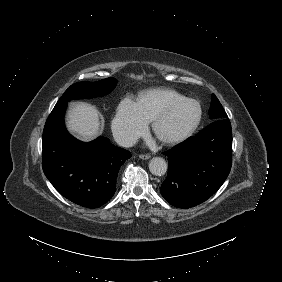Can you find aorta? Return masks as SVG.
Instances as JSON below:
<instances>
[{"mask_svg": "<svg viewBox=\"0 0 282 282\" xmlns=\"http://www.w3.org/2000/svg\"><path fill=\"white\" fill-rule=\"evenodd\" d=\"M149 170L153 175L162 176L167 171V163L161 157H154L149 162Z\"/></svg>", "mask_w": 282, "mask_h": 282, "instance_id": "aorta-1", "label": "aorta"}]
</instances>
